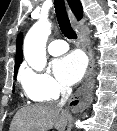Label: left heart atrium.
I'll use <instances>...</instances> for the list:
<instances>
[{"instance_id": "39dd6f15", "label": "left heart atrium", "mask_w": 117, "mask_h": 131, "mask_svg": "<svg viewBox=\"0 0 117 131\" xmlns=\"http://www.w3.org/2000/svg\"><path fill=\"white\" fill-rule=\"evenodd\" d=\"M86 61L78 52H72L54 62L53 70L56 77L66 85L78 82L84 74Z\"/></svg>"}]
</instances>
